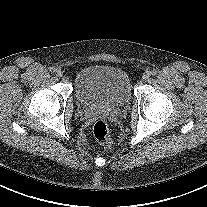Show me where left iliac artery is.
I'll return each mask as SVG.
<instances>
[{
	"label": "left iliac artery",
	"instance_id": "1",
	"mask_svg": "<svg viewBox=\"0 0 207 207\" xmlns=\"http://www.w3.org/2000/svg\"><path fill=\"white\" fill-rule=\"evenodd\" d=\"M156 74H157V71L155 69H153V70L150 71V75H153L154 76Z\"/></svg>",
	"mask_w": 207,
	"mask_h": 207
}]
</instances>
